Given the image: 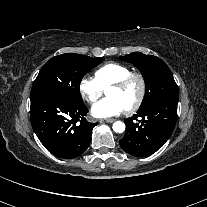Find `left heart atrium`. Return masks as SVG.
Returning <instances> with one entry per match:
<instances>
[{
    "mask_svg": "<svg viewBox=\"0 0 207 207\" xmlns=\"http://www.w3.org/2000/svg\"><path fill=\"white\" fill-rule=\"evenodd\" d=\"M126 107L116 98H104L96 102L91 108V114L96 118H110L125 112Z\"/></svg>",
    "mask_w": 207,
    "mask_h": 207,
    "instance_id": "obj_1",
    "label": "left heart atrium"
}]
</instances>
